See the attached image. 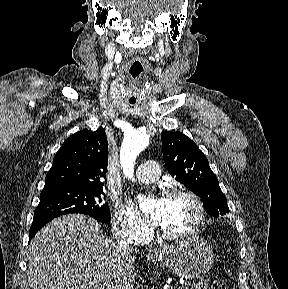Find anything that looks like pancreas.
Wrapping results in <instances>:
<instances>
[{"label": "pancreas", "mask_w": 288, "mask_h": 289, "mask_svg": "<svg viewBox=\"0 0 288 289\" xmlns=\"http://www.w3.org/2000/svg\"><path fill=\"white\" fill-rule=\"evenodd\" d=\"M209 279H202L198 283H193L186 287V289H207Z\"/></svg>", "instance_id": "pancreas-1"}]
</instances>
